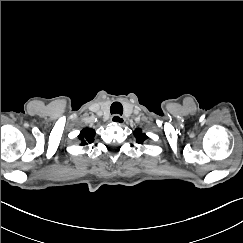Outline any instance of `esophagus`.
<instances>
[{"mask_svg":"<svg viewBox=\"0 0 243 243\" xmlns=\"http://www.w3.org/2000/svg\"><path fill=\"white\" fill-rule=\"evenodd\" d=\"M111 122L115 124H123L125 119L122 116L115 114L111 117Z\"/></svg>","mask_w":243,"mask_h":243,"instance_id":"obj_1","label":"esophagus"}]
</instances>
